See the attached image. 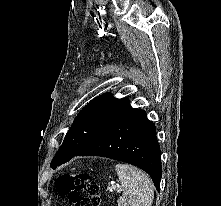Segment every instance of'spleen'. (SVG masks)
I'll use <instances>...</instances> for the list:
<instances>
[{"label":"spleen","mask_w":221,"mask_h":206,"mask_svg":"<svg viewBox=\"0 0 221 206\" xmlns=\"http://www.w3.org/2000/svg\"><path fill=\"white\" fill-rule=\"evenodd\" d=\"M115 169L124 189L118 206H151L154 193L149 177L128 164H116Z\"/></svg>","instance_id":"3e777b00"}]
</instances>
